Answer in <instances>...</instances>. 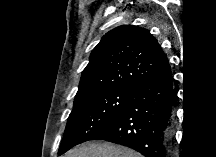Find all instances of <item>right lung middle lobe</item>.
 <instances>
[{
	"instance_id": "obj_1",
	"label": "right lung middle lobe",
	"mask_w": 216,
	"mask_h": 157,
	"mask_svg": "<svg viewBox=\"0 0 216 157\" xmlns=\"http://www.w3.org/2000/svg\"><path fill=\"white\" fill-rule=\"evenodd\" d=\"M132 87L96 91L74 100L58 154L73 146L92 140L106 129L124 110Z\"/></svg>"
}]
</instances>
